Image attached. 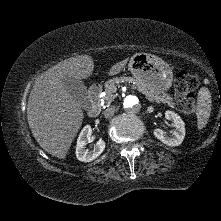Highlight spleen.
<instances>
[{"label":"spleen","instance_id":"obj_1","mask_svg":"<svg viewBox=\"0 0 221 221\" xmlns=\"http://www.w3.org/2000/svg\"><path fill=\"white\" fill-rule=\"evenodd\" d=\"M211 112V95L207 88L202 87L198 94L197 105V128L200 130L205 127Z\"/></svg>","mask_w":221,"mask_h":221}]
</instances>
